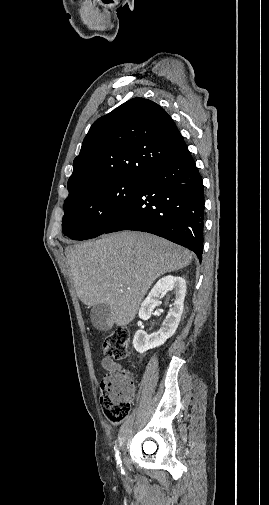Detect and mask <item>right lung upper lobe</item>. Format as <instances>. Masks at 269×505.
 I'll use <instances>...</instances> for the list:
<instances>
[{
  "label": "right lung upper lobe",
  "mask_w": 269,
  "mask_h": 505,
  "mask_svg": "<svg viewBox=\"0 0 269 505\" xmlns=\"http://www.w3.org/2000/svg\"><path fill=\"white\" fill-rule=\"evenodd\" d=\"M186 149L174 121L160 105L145 98L128 100L91 126L74 159L66 199L100 184L140 181Z\"/></svg>",
  "instance_id": "right-lung-upper-lobe-1"
}]
</instances>
